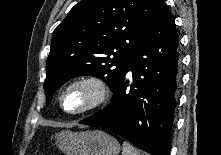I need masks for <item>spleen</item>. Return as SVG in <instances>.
<instances>
[{"label": "spleen", "instance_id": "3e777b00", "mask_svg": "<svg viewBox=\"0 0 221 155\" xmlns=\"http://www.w3.org/2000/svg\"><path fill=\"white\" fill-rule=\"evenodd\" d=\"M122 155H140V152L134 148L129 142L123 143Z\"/></svg>", "mask_w": 221, "mask_h": 155}]
</instances>
